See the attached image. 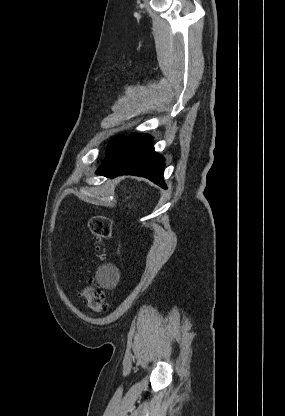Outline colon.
Here are the masks:
<instances>
[{"instance_id": "5ec220e1", "label": "colon", "mask_w": 285, "mask_h": 416, "mask_svg": "<svg viewBox=\"0 0 285 416\" xmlns=\"http://www.w3.org/2000/svg\"><path fill=\"white\" fill-rule=\"evenodd\" d=\"M89 229L95 245L96 255L98 258H103L104 253L101 246L111 237L112 221L108 216H94L89 221ZM81 295L92 311L101 313L108 309L106 294L93 281H89L83 287Z\"/></svg>"}]
</instances>
